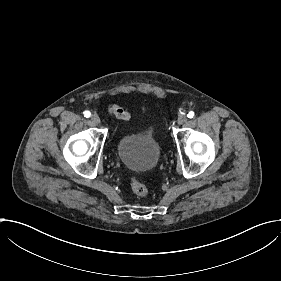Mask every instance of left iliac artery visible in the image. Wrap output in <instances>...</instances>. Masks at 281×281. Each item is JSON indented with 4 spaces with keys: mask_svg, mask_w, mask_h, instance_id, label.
I'll return each mask as SVG.
<instances>
[{
    "mask_svg": "<svg viewBox=\"0 0 281 281\" xmlns=\"http://www.w3.org/2000/svg\"><path fill=\"white\" fill-rule=\"evenodd\" d=\"M194 116V112L193 111H190L188 114H187V117L188 118H193Z\"/></svg>",
    "mask_w": 281,
    "mask_h": 281,
    "instance_id": "1",
    "label": "left iliac artery"
}]
</instances>
